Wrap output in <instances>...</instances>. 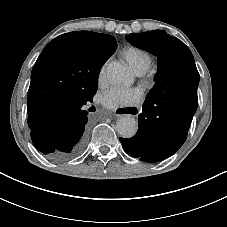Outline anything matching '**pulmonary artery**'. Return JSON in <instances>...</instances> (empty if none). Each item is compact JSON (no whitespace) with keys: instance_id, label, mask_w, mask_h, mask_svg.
Here are the masks:
<instances>
[{"instance_id":"e3ab8cb5","label":"pulmonary artery","mask_w":227,"mask_h":227,"mask_svg":"<svg viewBox=\"0 0 227 227\" xmlns=\"http://www.w3.org/2000/svg\"><path fill=\"white\" fill-rule=\"evenodd\" d=\"M136 75H140L138 72H136Z\"/></svg>"}]
</instances>
